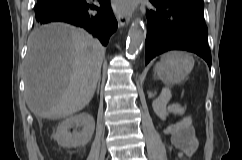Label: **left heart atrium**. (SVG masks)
<instances>
[{
  "label": "left heart atrium",
  "mask_w": 242,
  "mask_h": 160,
  "mask_svg": "<svg viewBox=\"0 0 242 160\" xmlns=\"http://www.w3.org/2000/svg\"><path fill=\"white\" fill-rule=\"evenodd\" d=\"M134 5L135 0H114V8L123 13L131 11Z\"/></svg>",
  "instance_id": "obj_1"
}]
</instances>
